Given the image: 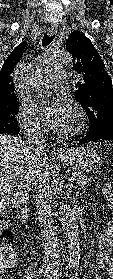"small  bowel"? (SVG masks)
I'll list each match as a JSON object with an SVG mask.
<instances>
[{
  "label": "small bowel",
  "mask_w": 113,
  "mask_h": 279,
  "mask_svg": "<svg viewBox=\"0 0 113 279\" xmlns=\"http://www.w3.org/2000/svg\"><path fill=\"white\" fill-rule=\"evenodd\" d=\"M108 201L113 207V194L108 195ZM98 251L96 262L98 269L105 272L110 279H113V218L107 229L97 238Z\"/></svg>",
  "instance_id": "c3829d8e"
}]
</instances>
